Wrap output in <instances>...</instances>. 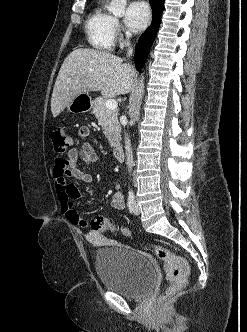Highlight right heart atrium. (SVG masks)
Wrapping results in <instances>:
<instances>
[{"mask_svg":"<svg viewBox=\"0 0 247 332\" xmlns=\"http://www.w3.org/2000/svg\"><path fill=\"white\" fill-rule=\"evenodd\" d=\"M115 30L118 32L121 30V26L117 20H115Z\"/></svg>","mask_w":247,"mask_h":332,"instance_id":"d8ad5b80","label":"right heart atrium"}]
</instances>
